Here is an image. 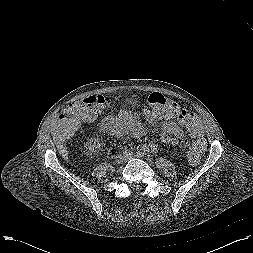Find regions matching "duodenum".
<instances>
[{
  "label": "duodenum",
  "instance_id": "duodenum-1",
  "mask_svg": "<svg viewBox=\"0 0 253 253\" xmlns=\"http://www.w3.org/2000/svg\"><path fill=\"white\" fill-rule=\"evenodd\" d=\"M103 127H104L105 130H109V129H111L113 127V125L104 124Z\"/></svg>",
  "mask_w": 253,
  "mask_h": 253
}]
</instances>
